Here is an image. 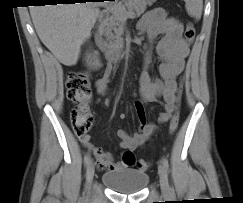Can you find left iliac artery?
<instances>
[{
  "mask_svg": "<svg viewBox=\"0 0 243 203\" xmlns=\"http://www.w3.org/2000/svg\"><path fill=\"white\" fill-rule=\"evenodd\" d=\"M162 163H163L166 171L169 172V162H168L167 158L163 157Z\"/></svg>",
  "mask_w": 243,
  "mask_h": 203,
  "instance_id": "44dca946",
  "label": "left iliac artery"
}]
</instances>
